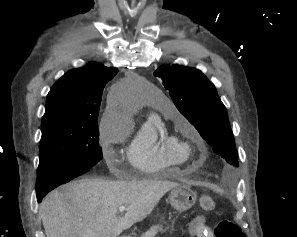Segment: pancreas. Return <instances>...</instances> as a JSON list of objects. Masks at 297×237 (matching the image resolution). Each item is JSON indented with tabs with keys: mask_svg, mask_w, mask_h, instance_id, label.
<instances>
[{
	"mask_svg": "<svg viewBox=\"0 0 297 237\" xmlns=\"http://www.w3.org/2000/svg\"><path fill=\"white\" fill-rule=\"evenodd\" d=\"M160 231H163L162 225H154L150 230L143 233L141 237H155Z\"/></svg>",
	"mask_w": 297,
	"mask_h": 237,
	"instance_id": "pancreas-1",
	"label": "pancreas"
}]
</instances>
